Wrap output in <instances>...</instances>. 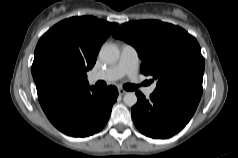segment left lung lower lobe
<instances>
[{"instance_id": "1", "label": "left lung lower lobe", "mask_w": 238, "mask_h": 158, "mask_svg": "<svg viewBox=\"0 0 238 158\" xmlns=\"http://www.w3.org/2000/svg\"><path fill=\"white\" fill-rule=\"evenodd\" d=\"M201 83L154 91L150 99L137 91L138 102L132 107V119L144 135L164 139L178 133L193 116L202 95Z\"/></svg>"}]
</instances>
